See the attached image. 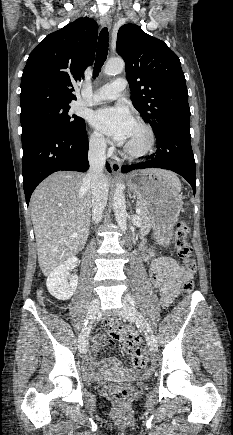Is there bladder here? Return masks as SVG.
<instances>
[{"instance_id":"obj_1","label":"bladder","mask_w":233,"mask_h":435,"mask_svg":"<svg viewBox=\"0 0 233 435\" xmlns=\"http://www.w3.org/2000/svg\"><path fill=\"white\" fill-rule=\"evenodd\" d=\"M146 378H147L146 376H141V377L138 378V381H143V380H145Z\"/></svg>"}]
</instances>
